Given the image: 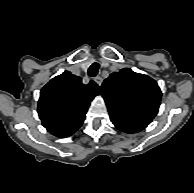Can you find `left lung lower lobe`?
<instances>
[{"mask_svg": "<svg viewBox=\"0 0 194 193\" xmlns=\"http://www.w3.org/2000/svg\"><path fill=\"white\" fill-rule=\"evenodd\" d=\"M112 123L121 131L126 132V133H137L140 132L141 130H143L144 128L139 126V125H135L126 121H122L116 118H110Z\"/></svg>", "mask_w": 194, "mask_h": 193, "instance_id": "obj_1", "label": "left lung lower lobe"}]
</instances>
